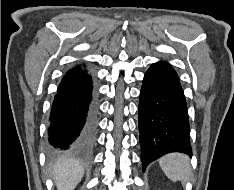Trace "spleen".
Listing matches in <instances>:
<instances>
[{
	"instance_id": "3e777b00",
	"label": "spleen",
	"mask_w": 234,
	"mask_h": 190,
	"mask_svg": "<svg viewBox=\"0 0 234 190\" xmlns=\"http://www.w3.org/2000/svg\"><path fill=\"white\" fill-rule=\"evenodd\" d=\"M159 165L165 175L173 182L181 181L184 184L189 180L191 166L189 158L185 154H167L159 159Z\"/></svg>"
}]
</instances>
